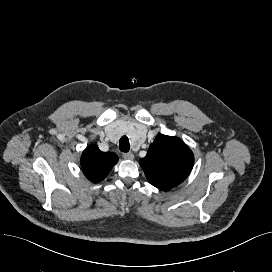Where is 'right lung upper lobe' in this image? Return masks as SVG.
Here are the masks:
<instances>
[{
	"instance_id": "right-lung-upper-lobe-1",
	"label": "right lung upper lobe",
	"mask_w": 272,
	"mask_h": 272,
	"mask_svg": "<svg viewBox=\"0 0 272 272\" xmlns=\"http://www.w3.org/2000/svg\"><path fill=\"white\" fill-rule=\"evenodd\" d=\"M117 162L115 153L102 152L96 145L85 149L81 157L83 173L92 182L102 181Z\"/></svg>"
}]
</instances>
